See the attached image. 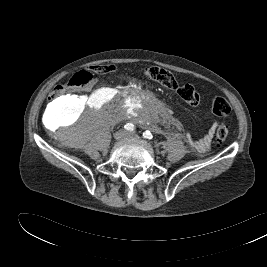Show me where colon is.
I'll use <instances>...</instances> for the list:
<instances>
[{
    "label": "colon",
    "instance_id": "5ec220e1",
    "mask_svg": "<svg viewBox=\"0 0 267 267\" xmlns=\"http://www.w3.org/2000/svg\"><path fill=\"white\" fill-rule=\"evenodd\" d=\"M115 69L114 65L105 64L92 67L95 73H109ZM143 75L168 89L175 90L179 97L190 106H197L201 97L198 91L190 84H179L175 76L162 67L150 66L142 70ZM93 81V75L90 71L82 70L75 73L67 82V84L57 86L50 95V100L56 102L67 96L69 89L84 88L89 86ZM71 99V97H69ZM211 109L214 114L221 117H226L231 113V106L229 102L223 97H215L211 101ZM228 136V128L221 124L216 130V139L219 143L226 140Z\"/></svg>",
    "mask_w": 267,
    "mask_h": 267
}]
</instances>
